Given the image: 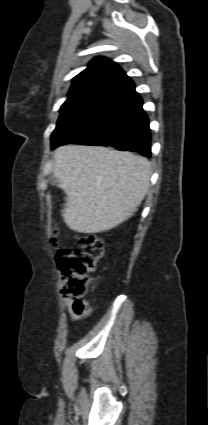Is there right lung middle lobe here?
<instances>
[{"label": "right lung middle lobe", "mask_w": 208, "mask_h": 425, "mask_svg": "<svg viewBox=\"0 0 208 425\" xmlns=\"http://www.w3.org/2000/svg\"><path fill=\"white\" fill-rule=\"evenodd\" d=\"M98 94L99 92H81L69 95L68 99L61 106L60 117L58 119L57 126L62 125L67 120V116L71 112L86 104L90 100L96 98ZM51 140L52 145L56 143V140L53 137H51Z\"/></svg>", "instance_id": "1"}]
</instances>
